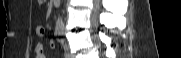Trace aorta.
Masks as SVG:
<instances>
[{"label": "aorta", "instance_id": "1", "mask_svg": "<svg viewBox=\"0 0 181 58\" xmlns=\"http://www.w3.org/2000/svg\"><path fill=\"white\" fill-rule=\"evenodd\" d=\"M55 32H58V33L64 32V22L60 15L58 16L56 20Z\"/></svg>", "mask_w": 181, "mask_h": 58}]
</instances>
